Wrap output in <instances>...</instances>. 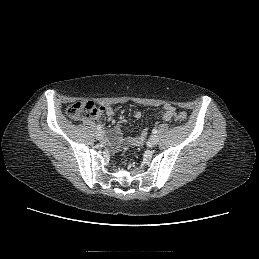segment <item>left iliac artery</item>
Returning a JSON list of instances; mask_svg holds the SVG:
<instances>
[{
    "instance_id": "left-iliac-artery-1",
    "label": "left iliac artery",
    "mask_w": 259,
    "mask_h": 259,
    "mask_svg": "<svg viewBox=\"0 0 259 259\" xmlns=\"http://www.w3.org/2000/svg\"><path fill=\"white\" fill-rule=\"evenodd\" d=\"M152 132H153L154 134L157 133V129L154 128V129L152 130Z\"/></svg>"
}]
</instances>
